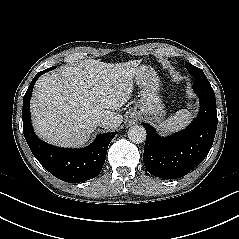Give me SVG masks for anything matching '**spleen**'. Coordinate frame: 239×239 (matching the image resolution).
Instances as JSON below:
<instances>
[{"mask_svg":"<svg viewBox=\"0 0 239 239\" xmlns=\"http://www.w3.org/2000/svg\"><path fill=\"white\" fill-rule=\"evenodd\" d=\"M192 118V112L182 109L170 116L160 124V128L167 134L176 132L186 127Z\"/></svg>","mask_w":239,"mask_h":239,"instance_id":"3e777b00","label":"spleen"}]
</instances>
